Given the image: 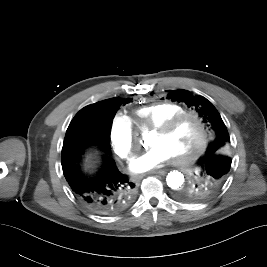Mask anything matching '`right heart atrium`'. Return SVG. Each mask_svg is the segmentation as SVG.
<instances>
[{
    "label": "right heart atrium",
    "instance_id": "d8ad5b80",
    "mask_svg": "<svg viewBox=\"0 0 267 267\" xmlns=\"http://www.w3.org/2000/svg\"><path fill=\"white\" fill-rule=\"evenodd\" d=\"M110 139L115 154L123 160L130 161L137 139L131 120L120 113L112 118Z\"/></svg>",
    "mask_w": 267,
    "mask_h": 267
}]
</instances>
